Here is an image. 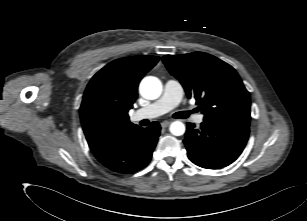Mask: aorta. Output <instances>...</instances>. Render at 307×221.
Returning <instances> with one entry per match:
<instances>
[{"label":"aorta","mask_w":307,"mask_h":221,"mask_svg":"<svg viewBox=\"0 0 307 221\" xmlns=\"http://www.w3.org/2000/svg\"><path fill=\"white\" fill-rule=\"evenodd\" d=\"M139 91L142 97L154 100L161 95L162 84L156 77L148 76L141 81ZM170 132L175 136H181L185 133V125L180 121H175L170 125Z\"/></svg>","instance_id":"aorta-1"}]
</instances>
